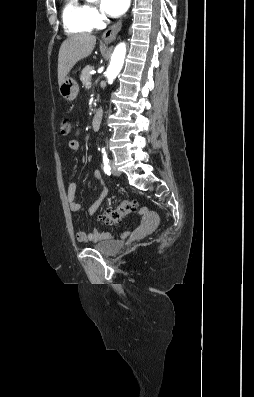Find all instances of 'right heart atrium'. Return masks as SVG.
<instances>
[{
    "mask_svg": "<svg viewBox=\"0 0 254 397\" xmlns=\"http://www.w3.org/2000/svg\"><path fill=\"white\" fill-rule=\"evenodd\" d=\"M89 19L94 27H99L103 22V16L99 10L94 6L88 8Z\"/></svg>",
    "mask_w": 254,
    "mask_h": 397,
    "instance_id": "1",
    "label": "right heart atrium"
}]
</instances>
